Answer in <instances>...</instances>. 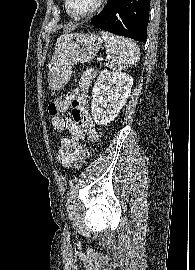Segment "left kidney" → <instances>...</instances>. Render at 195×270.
I'll list each match as a JSON object with an SVG mask.
<instances>
[{
    "label": "left kidney",
    "mask_w": 195,
    "mask_h": 270,
    "mask_svg": "<svg viewBox=\"0 0 195 270\" xmlns=\"http://www.w3.org/2000/svg\"><path fill=\"white\" fill-rule=\"evenodd\" d=\"M133 78L122 72L102 71L93 87L91 112L98 125L115 119L130 96Z\"/></svg>",
    "instance_id": "5707ae66"
}]
</instances>
